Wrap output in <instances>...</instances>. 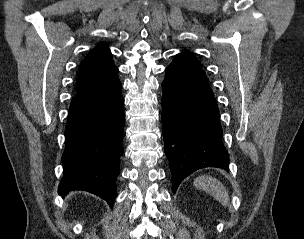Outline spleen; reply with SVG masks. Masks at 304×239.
<instances>
[{"label":"spleen","instance_id":"1","mask_svg":"<svg viewBox=\"0 0 304 239\" xmlns=\"http://www.w3.org/2000/svg\"><path fill=\"white\" fill-rule=\"evenodd\" d=\"M195 187L213 196L223 206L229 205V195L224 185L210 176H200L194 180Z\"/></svg>","mask_w":304,"mask_h":239}]
</instances>
